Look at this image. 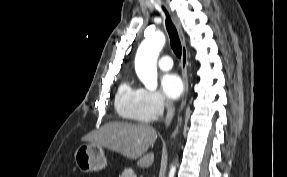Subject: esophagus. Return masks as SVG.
Returning <instances> with one entry per match:
<instances>
[{
	"instance_id": "1",
	"label": "esophagus",
	"mask_w": 287,
	"mask_h": 177,
	"mask_svg": "<svg viewBox=\"0 0 287 177\" xmlns=\"http://www.w3.org/2000/svg\"><path fill=\"white\" fill-rule=\"evenodd\" d=\"M165 8L169 12L171 20L177 29V32H178V35L180 38V42H181V46H182L181 69H182V77H183V82H184V96H183V100H182L180 108H179V114H180L181 111L183 110V108L185 107V104L187 101V94H188V90H189V81H188V73H187L188 51H187L185 36H184L183 30L181 28L180 22L178 21L176 16L173 15L169 11V9L166 7V5H165ZM179 121L180 120H179V116H178V123H179ZM177 130H178V125H177L176 129L174 130V132L172 133L171 138H174L176 136Z\"/></svg>"
}]
</instances>
